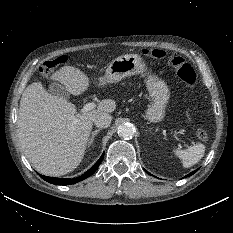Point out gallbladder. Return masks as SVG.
Segmentation results:
<instances>
[{"label":"gallbladder","mask_w":233,"mask_h":233,"mask_svg":"<svg viewBox=\"0 0 233 233\" xmlns=\"http://www.w3.org/2000/svg\"><path fill=\"white\" fill-rule=\"evenodd\" d=\"M49 92L55 96L61 97V98H69V93L67 91V89L62 86L59 83H51L49 85Z\"/></svg>","instance_id":"bac80fb5"}]
</instances>
